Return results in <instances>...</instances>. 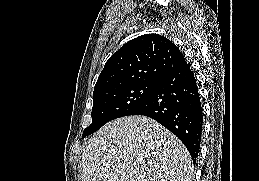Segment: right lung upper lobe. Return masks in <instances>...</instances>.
<instances>
[{
	"label": "right lung upper lobe",
	"instance_id": "obj_1",
	"mask_svg": "<svg viewBox=\"0 0 259 181\" xmlns=\"http://www.w3.org/2000/svg\"><path fill=\"white\" fill-rule=\"evenodd\" d=\"M184 62L186 60L179 48L164 36H139L108 59L93 94L136 83H155Z\"/></svg>",
	"mask_w": 259,
	"mask_h": 181
}]
</instances>
